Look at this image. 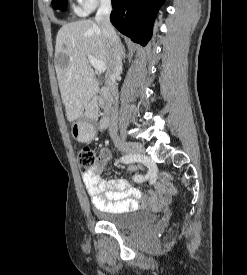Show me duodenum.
<instances>
[{
  "mask_svg": "<svg viewBox=\"0 0 247 275\" xmlns=\"http://www.w3.org/2000/svg\"><path fill=\"white\" fill-rule=\"evenodd\" d=\"M98 105H100V107L103 110V113L99 118V127L100 129H105L110 123L112 110L109 90H100L99 93L95 96V98L87 104L86 111L90 113Z\"/></svg>",
  "mask_w": 247,
  "mask_h": 275,
  "instance_id": "1",
  "label": "duodenum"
}]
</instances>
